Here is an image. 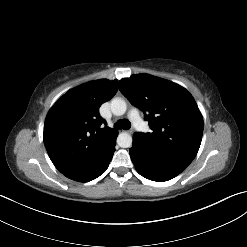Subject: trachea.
I'll return each instance as SVG.
<instances>
[{
	"label": "trachea",
	"instance_id": "obj_1",
	"mask_svg": "<svg viewBox=\"0 0 247 247\" xmlns=\"http://www.w3.org/2000/svg\"><path fill=\"white\" fill-rule=\"evenodd\" d=\"M115 129H129L130 123L126 120H119L114 124Z\"/></svg>",
	"mask_w": 247,
	"mask_h": 247
}]
</instances>
